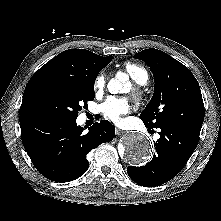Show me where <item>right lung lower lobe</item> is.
I'll return each instance as SVG.
<instances>
[{
  "label": "right lung lower lobe",
  "instance_id": "obj_1",
  "mask_svg": "<svg viewBox=\"0 0 221 221\" xmlns=\"http://www.w3.org/2000/svg\"><path fill=\"white\" fill-rule=\"evenodd\" d=\"M24 148L36 169L56 182H69L88 169L87 154L114 138L115 127L107 120L96 122L87 133L76 119L24 116L20 119Z\"/></svg>",
  "mask_w": 221,
  "mask_h": 221
}]
</instances>
